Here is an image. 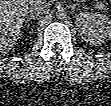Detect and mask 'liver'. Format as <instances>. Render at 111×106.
Segmentation results:
<instances>
[{"label": "liver", "instance_id": "1", "mask_svg": "<svg viewBox=\"0 0 111 106\" xmlns=\"http://www.w3.org/2000/svg\"><path fill=\"white\" fill-rule=\"evenodd\" d=\"M28 0L0 1V52L7 53L17 42L28 14Z\"/></svg>", "mask_w": 111, "mask_h": 106}]
</instances>
